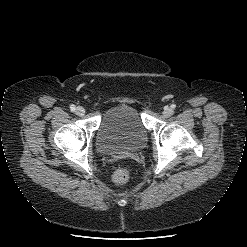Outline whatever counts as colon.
I'll list each match as a JSON object with an SVG mask.
<instances>
[{"label": "colon", "instance_id": "1", "mask_svg": "<svg viewBox=\"0 0 247 247\" xmlns=\"http://www.w3.org/2000/svg\"><path fill=\"white\" fill-rule=\"evenodd\" d=\"M113 182L117 185L125 184L129 179V171L125 167H118L112 175Z\"/></svg>", "mask_w": 247, "mask_h": 247}]
</instances>
